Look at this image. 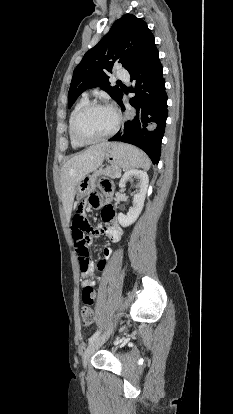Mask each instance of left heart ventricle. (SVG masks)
<instances>
[{"instance_id": "left-heart-ventricle-1", "label": "left heart ventricle", "mask_w": 233, "mask_h": 414, "mask_svg": "<svg viewBox=\"0 0 233 414\" xmlns=\"http://www.w3.org/2000/svg\"><path fill=\"white\" fill-rule=\"evenodd\" d=\"M115 124L114 113L106 108H93L79 120L77 130L84 138H96L107 134Z\"/></svg>"}]
</instances>
